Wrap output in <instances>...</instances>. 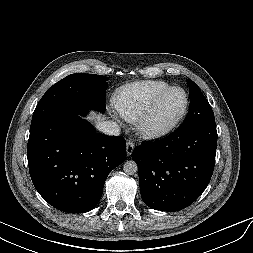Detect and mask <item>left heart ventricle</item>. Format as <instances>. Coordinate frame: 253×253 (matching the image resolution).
I'll return each mask as SVG.
<instances>
[{"label": "left heart ventricle", "mask_w": 253, "mask_h": 253, "mask_svg": "<svg viewBox=\"0 0 253 253\" xmlns=\"http://www.w3.org/2000/svg\"><path fill=\"white\" fill-rule=\"evenodd\" d=\"M184 106V96L180 91H173L164 97L151 117L150 124L163 127L171 123Z\"/></svg>", "instance_id": "left-heart-ventricle-1"}]
</instances>
